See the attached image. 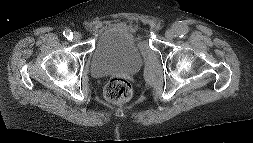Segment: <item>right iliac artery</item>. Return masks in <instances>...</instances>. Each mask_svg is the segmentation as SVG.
Listing matches in <instances>:
<instances>
[{
  "label": "right iliac artery",
  "mask_w": 253,
  "mask_h": 143,
  "mask_svg": "<svg viewBox=\"0 0 253 143\" xmlns=\"http://www.w3.org/2000/svg\"><path fill=\"white\" fill-rule=\"evenodd\" d=\"M63 35L67 38V39H71L73 37V34L72 32L69 30V29H66L64 32H63Z\"/></svg>",
  "instance_id": "obj_1"
}]
</instances>
